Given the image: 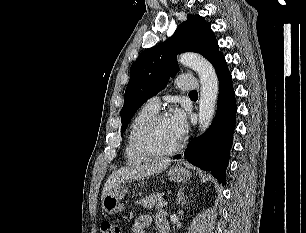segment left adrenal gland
Listing matches in <instances>:
<instances>
[{
	"instance_id": "1",
	"label": "left adrenal gland",
	"mask_w": 306,
	"mask_h": 233,
	"mask_svg": "<svg viewBox=\"0 0 306 233\" xmlns=\"http://www.w3.org/2000/svg\"><path fill=\"white\" fill-rule=\"evenodd\" d=\"M184 188H181L177 195V205L185 202Z\"/></svg>"
}]
</instances>
